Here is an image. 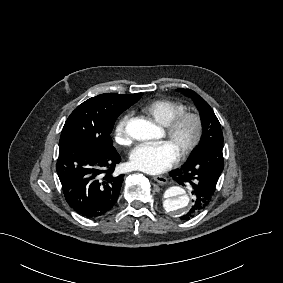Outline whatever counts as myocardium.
<instances>
[{
  "label": "myocardium",
  "mask_w": 283,
  "mask_h": 283,
  "mask_svg": "<svg viewBox=\"0 0 283 283\" xmlns=\"http://www.w3.org/2000/svg\"><path fill=\"white\" fill-rule=\"evenodd\" d=\"M187 121L192 122L194 132L189 142L182 148L180 152V159L187 158L199 146L203 136L202 118L196 112L185 111L172 118L170 122L165 126L166 135L168 137H174L178 133L182 125Z\"/></svg>",
  "instance_id": "myocardium-1"
}]
</instances>
